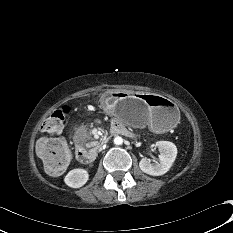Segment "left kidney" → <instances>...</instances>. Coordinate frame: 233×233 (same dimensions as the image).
<instances>
[{"mask_svg": "<svg viewBox=\"0 0 233 233\" xmlns=\"http://www.w3.org/2000/svg\"><path fill=\"white\" fill-rule=\"evenodd\" d=\"M160 152L159 163H151L143 158L139 162L140 169L152 176H161L169 171L177 156L175 144L169 141H158L155 144Z\"/></svg>", "mask_w": 233, "mask_h": 233, "instance_id": "obj_1", "label": "left kidney"}]
</instances>
